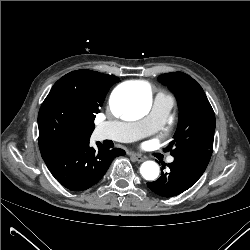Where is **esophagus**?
Here are the masks:
<instances>
[{"instance_id": "obj_1", "label": "esophagus", "mask_w": 250, "mask_h": 250, "mask_svg": "<svg viewBox=\"0 0 250 250\" xmlns=\"http://www.w3.org/2000/svg\"><path fill=\"white\" fill-rule=\"evenodd\" d=\"M130 156L137 162H143L145 160L144 157L136 153H130Z\"/></svg>"}]
</instances>
